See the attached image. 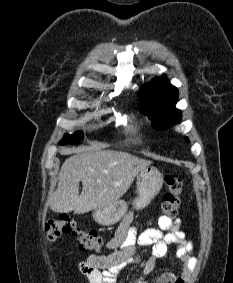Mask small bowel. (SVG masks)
<instances>
[{
	"mask_svg": "<svg viewBox=\"0 0 233 283\" xmlns=\"http://www.w3.org/2000/svg\"><path fill=\"white\" fill-rule=\"evenodd\" d=\"M133 211H130L120 223L106 248L114 250L109 255H90L79 262L78 268L87 277L88 283H117V276L129 263H138L143 275L151 273L156 261L169 257L168 248H174V256L179 272H167L157 279V283H186L196 268L197 259L192 255L193 245L187 241L180 229L181 220L166 216L158 219V228H149L141 233L132 225ZM151 248V254L141 259L139 252ZM129 283H147L137 277Z\"/></svg>",
	"mask_w": 233,
	"mask_h": 283,
	"instance_id": "small-bowel-1",
	"label": "small bowel"
}]
</instances>
